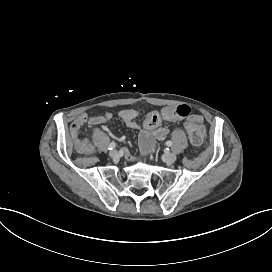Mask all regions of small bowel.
Instances as JSON below:
<instances>
[{
    "mask_svg": "<svg viewBox=\"0 0 272 272\" xmlns=\"http://www.w3.org/2000/svg\"><path fill=\"white\" fill-rule=\"evenodd\" d=\"M169 108L163 110V118L169 122H176L177 117L168 112ZM112 113L106 112L102 115L88 116L82 113L76 117L74 121H78L83 125L88 124L90 126L102 125L108 123L112 118ZM119 118L132 130L139 131V144L144 153H148L153 148V140H163L167 137L170 130L165 126H159L154 128L143 129L141 124L137 121L139 113L133 109H124L118 113Z\"/></svg>",
    "mask_w": 272,
    "mask_h": 272,
    "instance_id": "obj_1",
    "label": "small bowel"
}]
</instances>
